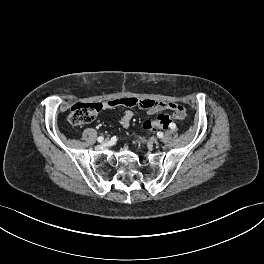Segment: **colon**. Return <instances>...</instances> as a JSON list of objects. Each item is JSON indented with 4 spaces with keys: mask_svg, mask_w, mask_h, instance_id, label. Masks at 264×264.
Returning a JSON list of instances; mask_svg holds the SVG:
<instances>
[{
    "mask_svg": "<svg viewBox=\"0 0 264 264\" xmlns=\"http://www.w3.org/2000/svg\"><path fill=\"white\" fill-rule=\"evenodd\" d=\"M107 104L110 107L114 106H132L134 100L125 97L113 99ZM104 107L102 103H75L69 113V122L75 126H81L91 122L95 115ZM178 124H181L183 117H174ZM172 122V118L168 114H159L154 120H147L143 123V128L146 131L154 132L160 129H167Z\"/></svg>",
    "mask_w": 264,
    "mask_h": 264,
    "instance_id": "1",
    "label": "colon"
}]
</instances>
